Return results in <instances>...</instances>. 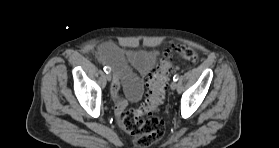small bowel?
<instances>
[{"label":"small bowel","mask_w":279,"mask_h":148,"mask_svg":"<svg viewBox=\"0 0 279 148\" xmlns=\"http://www.w3.org/2000/svg\"><path fill=\"white\" fill-rule=\"evenodd\" d=\"M99 57L114 70L111 94L115 102V112L119 116L127 105V100L120 94V88L123 87L128 100L133 102L140 100L143 92L141 76L146 75L155 66L157 54L155 52L125 54L113 43L105 42L99 48Z\"/></svg>","instance_id":"1"}]
</instances>
